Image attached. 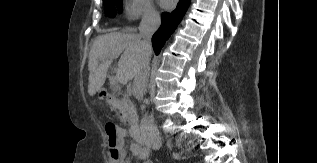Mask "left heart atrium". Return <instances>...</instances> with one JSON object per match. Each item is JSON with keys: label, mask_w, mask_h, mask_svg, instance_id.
Here are the masks:
<instances>
[{"label": "left heart atrium", "mask_w": 317, "mask_h": 163, "mask_svg": "<svg viewBox=\"0 0 317 163\" xmlns=\"http://www.w3.org/2000/svg\"><path fill=\"white\" fill-rule=\"evenodd\" d=\"M175 2L176 0H160V4L165 8L171 7Z\"/></svg>", "instance_id": "1"}]
</instances>
